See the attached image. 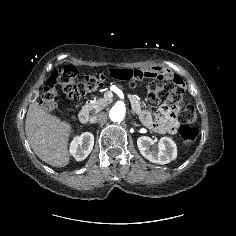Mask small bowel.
Instances as JSON below:
<instances>
[{
  "instance_id": "c3829d8e",
  "label": "small bowel",
  "mask_w": 236,
  "mask_h": 236,
  "mask_svg": "<svg viewBox=\"0 0 236 236\" xmlns=\"http://www.w3.org/2000/svg\"><path fill=\"white\" fill-rule=\"evenodd\" d=\"M111 75L114 79L128 87H136L138 82L143 81L145 78H156L158 80L171 79L179 85L183 83L179 76L162 67H151L144 70L133 67H116L112 70ZM133 99L136 100L135 98ZM132 107L139 114L141 121L152 130L160 133H176L177 121L173 117L174 110L170 107L163 106L161 114L156 117H153L147 110H141L139 104H132Z\"/></svg>"
}]
</instances>
